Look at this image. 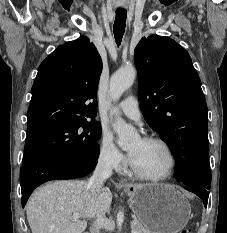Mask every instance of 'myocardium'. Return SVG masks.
<instances>
[{"mask_svg": "<svg viewBox=\"0 0 227 233\" xmlns=\"http://www.w3.org/2000/svg\"><path fill=\"white\" fill-rule=\"evenodd\" d=\"M142 141L146 143H155L161 145L168 153L169 158H170V166L169 169L162 175H149L146 174L142 171H140L131 161L130 156L128 158V166L130 171L138 178L143 179V180H148V181H162L170 178L177 165V159L175 156V153L171 146L163 139L158 138V137H153V136H147L141 139Z\"/></svg>", "mask_w": 227, "mask_h": 233, "instance_id": "f54148a6", "label": "myocardium"}]
</instances>
